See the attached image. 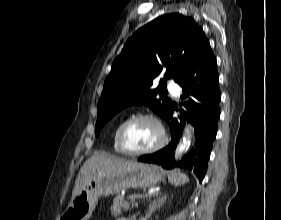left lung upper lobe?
I'll list each match as a JSON object with an SVG mask.
<instances>
[{"mask_svg": "<svg viewBox=\"0 0 281 220\" xmlns=\"http://www.w3.org/2000/svg\"><path fill=\"white\" fill-rule=\"evenodd\" d=\"M208 47L202 28L178 13L160 16L141 27L127 40L105 80L97 105L96 136L108 120L131 104H144L166 120L172 108L163 93L167 79L178 83L192 60ZM156 78L163 88L161 84L152 87Z\"/></svg>", "mask_w": 281, "mask_h": 220, "instance_id": "5c2ea615", "label": "left lung upper lobe"}]
</instances>
